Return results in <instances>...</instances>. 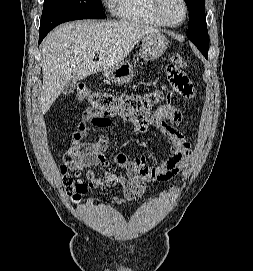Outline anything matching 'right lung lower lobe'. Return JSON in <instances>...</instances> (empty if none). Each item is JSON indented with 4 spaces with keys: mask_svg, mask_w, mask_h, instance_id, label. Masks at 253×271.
Segmentation results:
<instances>
[{
    "mask_svg": "<svg viewBox=\"0 0 253 271\" xmlns=\"http://www.w3.org/2000/svg\"><path fill=\"white\" fill-rule=\"evenodd\" d=\"M47 33L48 32H44V33L40 32V34H39V43L43 40V38L47 35Z\"/></svg>",
    "mask_w": 253,
    "mask_h": 271,
    "instance_id": "obj_1",
    "label": "right lung lower lobe"
}]
</instances>
